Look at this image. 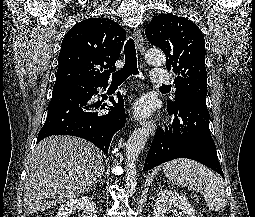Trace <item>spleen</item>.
I'll return each mask as SVG.
<instances>
[{
  "label": "spleen",
  "instance_id": "spleen-1",
  "mask_svg": "<svg viewBox=\"0 0 255 217\" xmlns=\"http://www.w3.org/2000/svg\"><path fill=\"white\" fill-rule=\"evenodd\" d=\"M165 176L178 186L200 191L212 211H219L227 204L223 181L204 165L188 159H176L163 165Z\"/></svg>",
  "mask_w": 255,
  "mask_h": 217
}]
</instances>
